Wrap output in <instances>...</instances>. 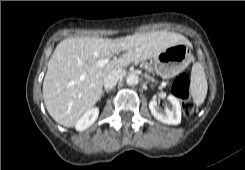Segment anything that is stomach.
I'll use <instances>...</instances> for the list:
<instances>
[{"instance_id": "stomach-1", "label": "stomach", "mask_w": 245, "mask_h": 170, "mask_svg": "<svg viewBox=\"0 0 245 170\" xmlns=\"http://www.w3.org/2000/svg\"><path fill=\"white\" fill-rule=\"evenodd\" d=\"M193 60L186 44H177L153 57V66L157 75L167 79L185 70Z\"/></svg>"}]
</instances>
